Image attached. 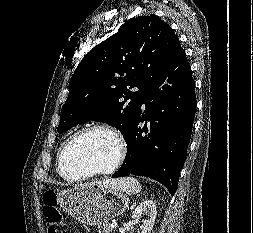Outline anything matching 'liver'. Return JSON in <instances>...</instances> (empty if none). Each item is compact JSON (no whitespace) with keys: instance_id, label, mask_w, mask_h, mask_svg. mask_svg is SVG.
Listing matches in <instances>:
<instances>
[{"instance_id":"liver-1","label":"liver","mask_w":253,"mask_h":233,"mask_svg":"<svg viewBox=\"0 0 253 233\" xmlns=\"http://www.w3.org/2000/svg\"><path fill=\"white\" fill-rule=\"evenodd\" d=\"M95 183H100V184H104L105 186L111 187L112 180H106L103 183L102 182H95Z\"/></svg>"}]
</instances>
